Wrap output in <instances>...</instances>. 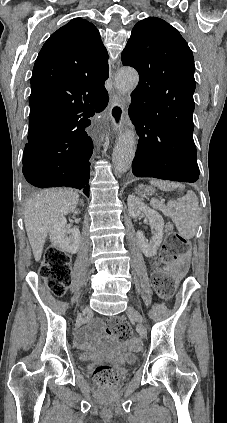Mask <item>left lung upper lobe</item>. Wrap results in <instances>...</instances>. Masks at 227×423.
Returning <instances> with one entry per match:
<instances>
[{
    "instance_id": "obj_1",
    "label": "left lung upper lobe",
    "mask_w": 227,
    "mask_h": 423,
    "mask_svg": "<svg viewBox=\"0 0 227 423\" xmlns=\"http://www.w3.org/2000/svg\"><path fill=\"white\" fill-rule=\"evenodd\" d=\"M121 59L123 65L134 67L139 73L130 106L193 112V54L180 33L166 21L149 17L136 23Z\"/></svg>"
}]
</instances>
